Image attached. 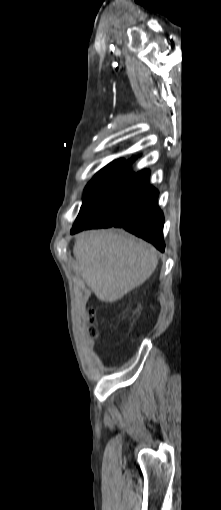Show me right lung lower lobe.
I'll return each mask as SVG.
<instances>
[{"label": "right lung lower lobe", "instance_id": "obj_1", "mask_svg": "<svg viewBox=\"0 0 221 510\" xmlns=\"http://www.w3.org/2000/svg\"><path fill=\"white\" fill-rule=\"evenodd\" d=\"M148 179V170L139 173L125 205L115 218H103L83 204L71 234L91 228L122 227L163 252L164 217L157 205L159 193L148 184Z\"/></svg>", "mask_w": 221, "mask_h": 510}]
</instances>
